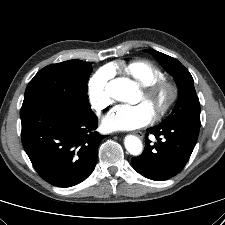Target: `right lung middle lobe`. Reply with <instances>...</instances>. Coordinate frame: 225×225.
<instances>
[{
    "label": "right lung middle lobe",
    "mask_w": 225,
    "mask_h": 225,
    "mask_svg": "<svg viewBox=\"0 0 225 225\" xmlns=\"http://www.w3.org/2000/svg\"><path fill=\"white\" fill-rule=\"evenodd\" d=\"M91 65V62L75 59L44 67L29 82L23 105L56 104L80 115L94 114L86 95Z\"/></svg>",
    "instance_id": "right-lung-middle-lobe-1"
}]
</instances>
